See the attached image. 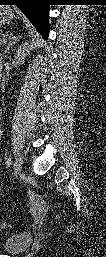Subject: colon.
Here are the masks:
<instances>
[{"instance_id": "colon-1", "label": "colon", "mask_w": 106, "mask_h": 257, "mask_svg": "<svg viewBox=\"0 0 106 257\" xmlns=\"http://www.w3.org/2000/svg\"><path fill=\"white\" fill-rule=\"evenodd\" d=\"M2 227L3 228H10L11 225L4 222V223H2Z\"/></svg>"}]
</instances>
